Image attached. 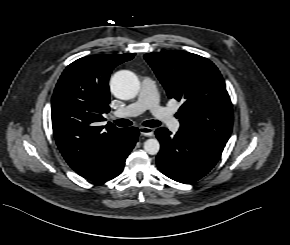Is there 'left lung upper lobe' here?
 Wrapping results in <instances>:
<instances>
[{"mask_svg":"<svg viewBox=\"0 0 290 245\" xmlns=\"http://www.w3.org/2000/svg\"><path fill=\"white\" fill-rule=\"evenodd\" d=\"M168 97L182 103L179 131L225 147L233 126V109L225 82L207 58L180 50L144 55Z\"/></svg>","mask_w":290,"mask_h":245,"instance_id":"left-lung-upper-lobe-1","label":"left lung upper lobe"}]
</instances>
